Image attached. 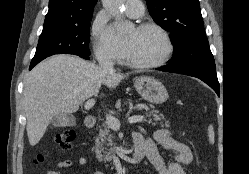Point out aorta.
Masks as SVG:
<instances>
[{
	"label": "aorta",
	"instance_id": "1",
	"mask_svg": "<svg viewBox=\"0 0 249 174\" xmlns=\"http://www.w3.org/2000/svg\"><path fill=\"white\" fill-rule=\"evenodd\" d=\"M104 8L110 13L117 22L118 30L121 33L128 32L132 29L133 24L126 21L121 16V7L125 0H102Z\"/></svg>",
	"mask_w": 249,
	"mask_h": 174
}]
</instances>
